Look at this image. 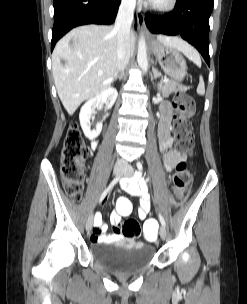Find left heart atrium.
Instances as JSON below:
<instances>
[{
  "label": "left heart atrium",
  "instance_id": "1",
  "mask_svg": "<svg viewBox=\"0 0 247 304\" xmlns=\"http://www.w3.org/2000/svg\"><path fill=\"white\" fill-rule=\"evenodd\" d=\"M146 2H153V0H145Z\"/></svg>",
  "mask_w": 247,
  "mask_h": 304
}]
</instances>
